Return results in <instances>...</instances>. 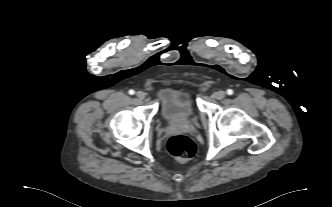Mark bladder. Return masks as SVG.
Wrapping results in <instances>:
<instances>
[{
  "instance_id": "1",
  "label": "bladder",
  "mask_w": 332,
  "mask_h": 207,
  "mask_svg": "<svg viewBox=\"0 0 332 207\" xmlns=\"http://www.w3.org/2000/svg\"><path fill=\"white\" fill-rule=\"evenodd\" d=\"M159 117L163 121H189L197 113L194 93L182 88H164L160 91Z\"/></svg>"
}]
</instances>
